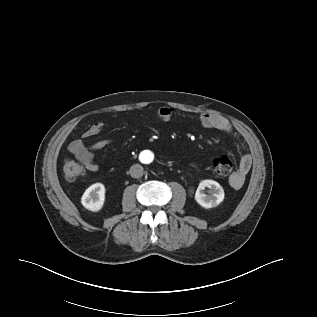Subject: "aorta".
I'll return each mask as SVG.
<instances>
[{"mask_svg":"<svg viewBox=\"0 0 317 317\" xmlns=\"http://www.w3.org/2000/svg\"><path fill=\"white\" fill-rule=\"evenodd\" d=\"M140 160L147 166H150L154 162V154L152 152H143L140 155Z\"/></svg>","mask_w":317,"mask_h":317,"instance_id":"762f6f07","label":"aorta"}]
</instances>
